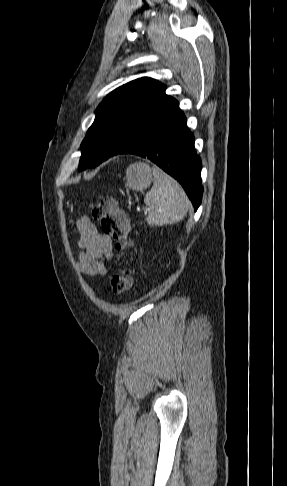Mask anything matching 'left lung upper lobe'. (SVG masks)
I'll use <instances>...</instances> for the list:
<instances>
[{"label":"left lung upper lobe","mask_w":287,"mask_h":486,"mask_svg":"<svg viewBox=\"0 0 287 486\" xmlns=\"http://www.w3.org/2000/svg\"><path fill=\"white\" fill-rule=\"evenodd\" d=\"M165 89L162 83L143 77L108 94L81 143L79 171L137 148L179 105Z\"/></svg>","instance_id":"left-lung-upper-lobe-1"}]
</instances>
